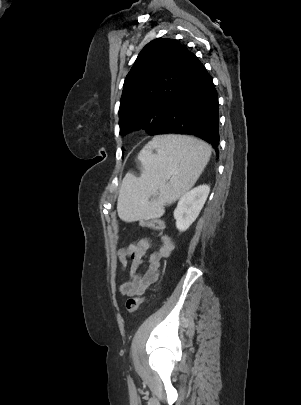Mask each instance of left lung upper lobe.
Segmentation results:
<instances>
[{
  "label": "left lung upper lobe",
  "instance_id": "obj_1",
  "mask_svg": "<svg viewBox=\"0 0 301 405\" xmlns=\"http://www.w3.org/2000/svg\"><path fill=\"white\" fill-rule=\"evenodd\" d=\"M194 54L177 40L157 38L139 53L125 78L120 134L140 128L154 135L183 85Z\"/></svg>",
  "mask_w": 301,
  "mask_h": 405
}]
</instances>
